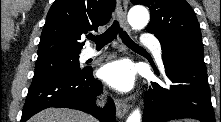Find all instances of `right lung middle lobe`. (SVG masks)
Listing matches in <instances>:
<instances>
[{
    "label": "right lung middle lobe",
    "mask_w": 221,
    "mask_h": 122,
    "mask_svg": "<svg viewBox=\"0 0 221 122\" xmlns=\"http://www.w3.org/2000/svg\"><path fill=\"white\" fill-rule=\"evenodd\" d=\"M85 68L79 67V55L54 56L38 59L33 80H41L60 75L79 74Z\"/></svg>",
    "instance_id": "obj_1"
}]
</instances>
